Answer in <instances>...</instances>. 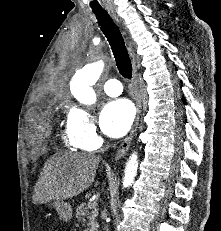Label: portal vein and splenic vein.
Listing matches in <instances>:
<instances>
[{
    "label": "portal vein and splenic vein",
    "mask_w": 221,
    "mask_h": 231,
    "mask_svg": "<svg viewBox=\"0 0 221 231\" xmlns=\"http://www.w3.org/2000/svg\"><path fill=\"white\" fill-rule=\"evenodd\" d=\"M96 205H97L96 202H90V203H89V207H90V208L96 207Z\"/></svg>",
    "instance_id": "portal-vein-and-splenic-vein-1"
}]
</instances>
